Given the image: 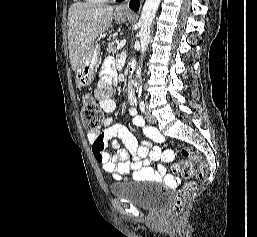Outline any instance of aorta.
Here are the masks:
<instances>
[{"label":"aorta","mask_w":257,"mask_h":237,"mask_svg":"<svg viewBox=\"0 0 257 237\" xmlns=\"http://www.w3.org/2000/svg\"><path fill=\"white\" fill-rule=\"evenodd\" d=\"M160 2L161 0H145L144 6L141 12V17L139 19V24L141 27L139 31L140 46H141V62L151 39L152 23L155 18L158 7L160 5ZM136 77L141 79L140 65L137 68ZM136 86H137L138 96L140 97L142 93V89L141 87H138V84H136Z\"/></svg>","instance_id":"obj_1"}]
</instances>
